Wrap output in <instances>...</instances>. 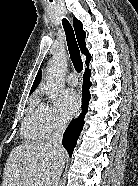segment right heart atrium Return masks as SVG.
I'll return each mask as SVG.
<instances>
[{"mask_svg":"<svg viewBox=\"0 0 138 186\" xmlns=\"http://www.w3.org/2000/svg\"><path fill=\"white\" fill-rule=\"evenodd\" d=\"M43 119L45 128L49 135L57 133L65 127V121L60 116L55 104L46 105Z\"/></svg>","mask_w":138,"mask_h":186,"instance_id":"1","label":"right heart atrium"}]
</instances>
